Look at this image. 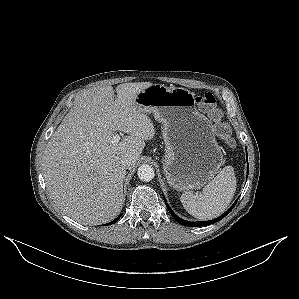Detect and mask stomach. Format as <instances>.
Masks as SVG:
<instances>
[{
    "label": "stomach",
    "instance_id": "1",
    "mask_svg": "<svg viewBox=\"0 0 299 299\" xmlns=\"http://www.w3.org/2000/svg\"><path fill=\"white\" fill-rule=\"evenodd\" d=\"M145 113L162 123L163 171L177 191L204 186L223 164L211 121L196 108L194 93L185 88L152 84L135 98Z\"/></svg>",
    "mask_w": 299,
    "mask_h": 299
}]
</instances>
